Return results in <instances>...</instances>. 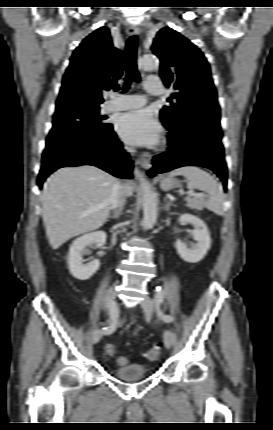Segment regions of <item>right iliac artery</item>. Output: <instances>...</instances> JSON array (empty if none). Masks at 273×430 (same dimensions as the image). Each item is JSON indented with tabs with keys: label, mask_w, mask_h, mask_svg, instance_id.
Here are the masks:
<instances>
[{
	"label": "right iliac artery",
	"mask_w": 273,
	"mask_h": 430,
	"mask_svg": "<svg viewBox=\"0 0 273 430\" xmlns=\"http://www.w3.org/2000/svg\"><path fill=\"white\" fill-rule=\"evenodd\" d=\"M117 320H118V312H113L110 325L108 327H104L102 329L103 330L102 333L104 335H109V334L113 333L116 329V326H117Z\"/></svg>",
	"instance_id": "82829eb1"
}]
</instances>
